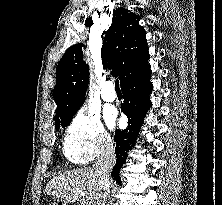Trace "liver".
<instances>
[{"instance_id":"obj_1","label":"liver","mask_w":222,"mask_h":205,"mask_svg":"<svg viewBox=\"0 0 222 205\" xmlns=\"http://www.w3.org/2000/svg\"><path fill=\"white\" fill-rule=\"evenodd\" d=\"M46 195L64 203L80 201L81 205H103L104 189L94 169H77L59 174L49 181Z\"/></svg>"}]
</instances>
